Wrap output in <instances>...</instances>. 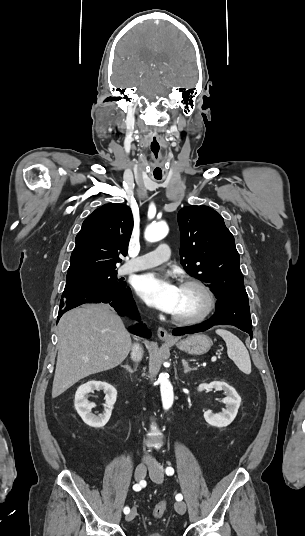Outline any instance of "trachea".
Listing matches in <instances>:
<instances>
[{
	"instance_id": "trachea-1",
	"label": "trachea",
	"mask_w": 305,
	"mask_h": 536,
	"mask_svg": "<svg viewBox=\"0 0 305 536\" xmlns=\"http://www.w3.org/2000/svg\"><path fill=\"white\" fill-rule=\"evenodd\" d=\"M156 180H161V178H156Z\"/></svg>"
}]
</instances>
